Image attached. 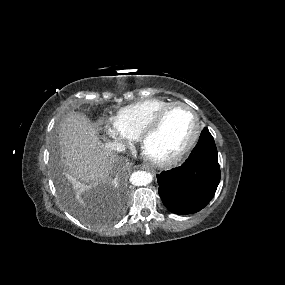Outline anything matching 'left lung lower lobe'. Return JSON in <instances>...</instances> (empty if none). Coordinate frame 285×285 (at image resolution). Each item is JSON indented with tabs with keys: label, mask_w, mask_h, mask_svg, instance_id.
Masks as SVG:
<instances>
[{
	"label": "left lung lower lobe",
	"mask_w": 285,
	"mask_h": 285,
	"mask_svg": "<svg viewBox=\"0 0 285 285\" xmlns=\"http://www.w3.org/2000/svg\"><path fill=\"white\" fill-rule=\"evenodd\" d=\"M163 204L175 214H191L203 209L213 198L220 181L216 145L208 128L188 159L180 167L157 175Z\"/></svg>",
	"instance_id": "obj_1"
}]
</instances>
